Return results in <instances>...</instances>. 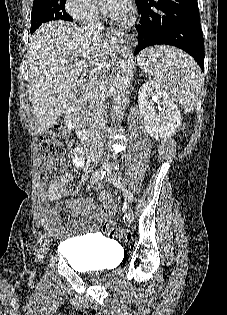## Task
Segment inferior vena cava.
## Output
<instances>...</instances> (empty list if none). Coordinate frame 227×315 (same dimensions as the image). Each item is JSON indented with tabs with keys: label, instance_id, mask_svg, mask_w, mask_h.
<instances>
[{
	"label": "inferior vena cava",
	"instance_id": "1",
	"mask_svg": "<svg viewBox=\"0 0 227 315\" xmlns=\"http://www.w3.org/2000/svg\"><path fill=\"white\" fill-rule=\"evenodd\" d=\"M102 23L100 21L98 11L95 8H88L86 12V26L85 30L91 33L95 38H100L102 32ZM108 79L106 75L101 73L98 80V94L93 100V114H92V128H91V155H96L103 147V138L105 133V120H104V92L107 88Z\"/></svg>",
	"mask_w": 227,
	"mask_h": 315
}]
</instances>
